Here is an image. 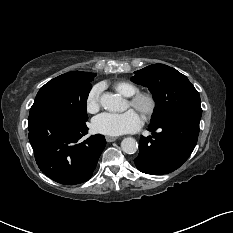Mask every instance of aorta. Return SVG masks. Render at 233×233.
I'll use <instances>...</instances> for the list:
<instances>
[{
  "instance_id": "obj_1",
  "label": "aorta",
  "mask_w": 233,
  "mask_h": 233,
  "mask_svg": "<svg viewBox=\"0 0 233 233\" xmlns=\"http://www.w3.org/2000/svg\"><path fill=\"white\" fill-rule=\"evenodd\" d=\"M101 106L110 112L123 110L124 102L117 94L105 93L100 98ZM121 149L124 153L134 154L138 149L136 140L132 137L124 138L121 142Z\"/></svg>"
}]
</instances>
